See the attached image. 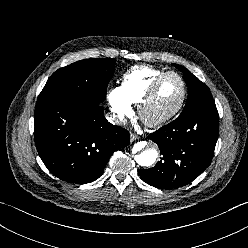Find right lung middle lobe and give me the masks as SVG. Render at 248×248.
<instances>
[{
  "label": "right lung middle lobe",
  "instance_id": "right-lung-middle-lobe-1",
  "mask_svg": "<svg viewBox=\"0 0 248 248\" xmlns=\"http://www.w3.org/2000/svg\"><path fill=\"white\" fill-rule=\"evenodd\" d=\"M115 59H85L58 69L48 79L38 100L62 98L84 105H100L114 73Z\"/></svg>",
  "mask_w": 248,
  "mask_h": 248
}]
</instances>
